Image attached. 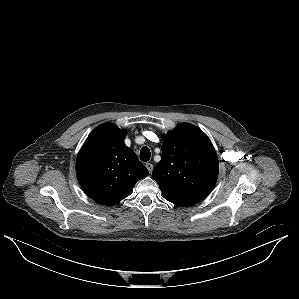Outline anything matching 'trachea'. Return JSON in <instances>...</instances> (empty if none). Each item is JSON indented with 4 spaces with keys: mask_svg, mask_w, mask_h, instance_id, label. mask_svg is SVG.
Segmentation results:
<instances>
[{
    "mask_svg": "<svg viewBox=\"0 0 299 299\" xmlns=\"http://www.w3.org/2000/svg\"><path fill=\"white\" fill-rule=\"evenodd\" d=\"M151 152L147 146H143L140 150V160L147 162L150 160Z\"/></svg>",
    "mask_w": 299,
    "mask_h": 299,
    "instance_id": "1",
    "label": "trachea"
}]
</instances>
